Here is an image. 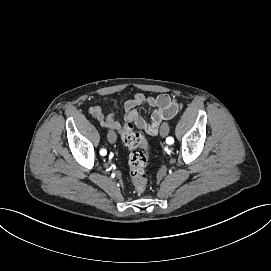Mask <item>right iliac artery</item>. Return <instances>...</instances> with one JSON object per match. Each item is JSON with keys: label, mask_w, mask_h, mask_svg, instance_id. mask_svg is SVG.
Instances as JSON below:
<instances>
[{"label": "right iliac artery", "mask_w": 271, "mask_h": 271, "mask_svg": "<svg viewBox=\"0 0 271 271\" xmlns=\"http://www.w3.org/2000/svg\"><path fill=\"white\" fill-rule=\"evenodd\" d=\"M101 156H106V148L105 147L101 148Z\"/></svg>", "instance_id": "82829eb1"}]
</instances>
